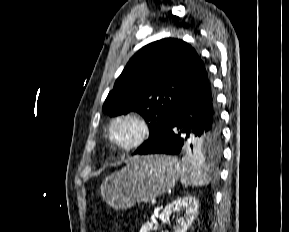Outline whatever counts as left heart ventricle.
I'll use <instances>...</instances> for the list:
<instances>
[{
  "label": "left heart ventricle",
  "mask_w": 289,
  "mask_h": 232,
  "mask_svg": "<svg viewBox=\"0 0 289 232\" xmlns=\"http://www.w3.org/2000/svg\"><path fill=\"white\" fill-rule=\"evenodd\" d=\"M137 132L138 130L134 123L130 121H122L115 125L113 135L118 142L126 144L136 137Z\"/></svg>",
  "instance_id": "left-heart-ventricle-1"
}]
</instances>
